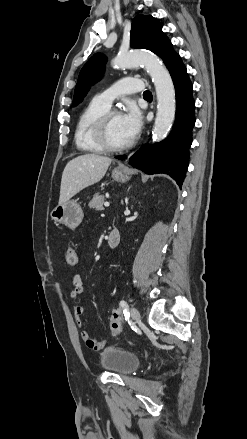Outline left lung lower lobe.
<instances>
[{
    "label": "left lung lower lobe",
    "mask_w": 247,
    "mask_h": 439,
    "mask_svg": "<svg viewBox=\"0 0 247 439\" xmlns=\"http://www.w3.org/2000/svg\"><path fill=\"white\" fill-rule=\"evenodd\" d=\"M175 86L176 118L168 138L161 143L144 145L131 158L130 164L147 174L165 173L181 187L189 163V148L195 124L193 85L180 59L170 70ZM124 159L125 156H117Z\"/></svg>",
    "instance_id": "0a47b994"
}]
</instances>
